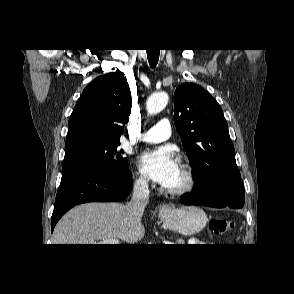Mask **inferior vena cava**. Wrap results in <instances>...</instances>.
<instances>
[{"instance_id": "1", "label": "inferior vena cava", "mask_w": 294, "mask_h": 294, "mask_svg": "<svg viewBox=\"0 0 294 294\" xmlns=\"http://www.w3.org/2000/svg\"><path fill=\"white\" fill-rule=\"evenodd\" d=\"M149 201V189L146 179H138L134 183L133 196L128 203L131 215L137 221H141L144 209Z\"/></svg>"}]
</instances>
